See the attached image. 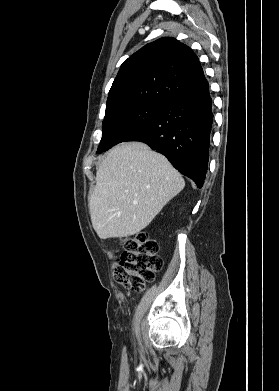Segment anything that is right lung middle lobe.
Returning <instances> with one entry per match:
<instances>
[{"mask_svg": "<svg viewBox=\"0 0 279 391\" xmlns=\"http://www.w3.org/2000/svg\"><path fill=\"white\" fill-rule=\"evenodd\" d=\"M162 106L161 103H137L106 112L97 153L125 141L132 133L148 125Z\"/></svg>", "mask_w": 279, "mask_h": 391, "instance_id": "1", "label": "right lung middle lobe"}]
</instances>
